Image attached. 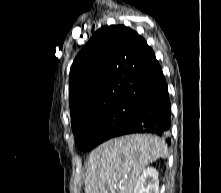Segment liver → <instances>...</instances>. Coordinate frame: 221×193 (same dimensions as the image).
Here are the masks:
<instances>
[{"mask_svg":"<svg viewBox=\"0 0 221 193\" xmlns=\"http://www.w3.org/2000/svg\"><path fill=\"white\" fill-rule=\"evenodd\" d=\"M167 157V145L157 136L133 134L108 140L89 155L85 193H133L145 167Z\"/></svg>","mask_w":221,"mask_h":193,"instance_id":"1","label":"liver"}]
</instances>
